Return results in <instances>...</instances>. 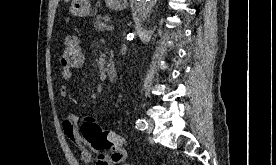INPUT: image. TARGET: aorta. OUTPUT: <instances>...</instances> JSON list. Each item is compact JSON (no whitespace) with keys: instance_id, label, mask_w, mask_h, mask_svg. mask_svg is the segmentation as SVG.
Masks as SVG:
<instances>
[{"instance_id":"1","label":"aorta","mask_w":276,"mask_h":165,"mask_svg":"<svg viewBox=\"0 0 276 165\" xmlns=\"http://www.w3.org/2000/svg\"><path fill=\"white\" fill-rule=\"evenodd\" d=\"M157 0H135L136 11L141 22H145L149 18L152 8Z\"/></svg>"}]
</instances>
